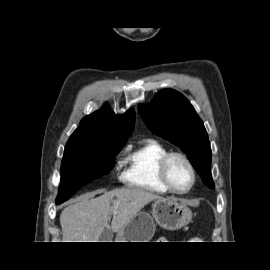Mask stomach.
Masks as SVG:
<instances>
[{"label": "stomach", "mask_w": 270, "mask_h": 270, "mask_svg": "<svg viewBox=\"0 0 270 270\" xmlns=\"http://www.w3.org/2000/svg\"><path fill=\"white\" fill-rule=\"evenodd\" d=\"M192 219L190 208L176 199L160 198L152 205V215L145 211L138 212L119 232L117 242H149L155 232V222L167 230H177L187 225Z\"/></svg>", "instance_id": "stomach-1"}]
</instances>
